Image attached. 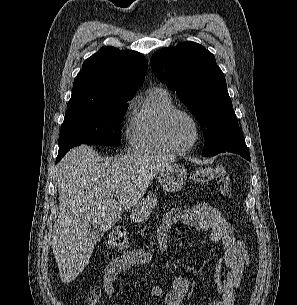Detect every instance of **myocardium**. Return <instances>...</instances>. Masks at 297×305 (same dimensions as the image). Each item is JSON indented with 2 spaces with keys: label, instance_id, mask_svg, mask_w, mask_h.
<instances>
[{
  "label": "myocardium",
  "instance_id": "myocardium-1",
  "mask_svg": "<svg viewBox=\"0 0 297 305\" xmlns=\"http://www.w3.org/2000/svg\"><path fill=\"white\" fill-rule=\"evenodd\" d=\"M176 115H183V116L187 117L194 126L195 137H194L193 141L185 147L176 146L172 142L170 135H169V124ZM160 136H161L164 144L170 149L171 152H174L177 154H185V153H188L191 150H193L194 147L199 142L200 137H201V128H200V124L197 121V119L190 112L183 110V109L174 108V109H171L170 111H168L162 117L161 122H160Z\"/></svg>",
  "mask_w": 297,
  "mask_h": 305
}]
</instances>
